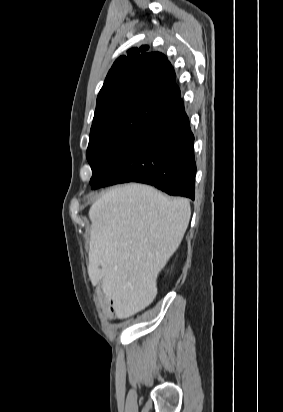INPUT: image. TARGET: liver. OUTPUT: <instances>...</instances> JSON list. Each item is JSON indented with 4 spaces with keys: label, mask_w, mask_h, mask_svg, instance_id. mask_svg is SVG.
<instances>
[{
    "label": "liver",
    "mask_w": 283,
    "mask_h": 412,
    "mask_svg": "<svg viewBox=\"0 0 283 412\" xmlns=\"http://www.w3.org/2000/svg\"><path fill=\"white\" fill-rule=\"evenodd\" d=\"M190 215L187 199L136 183L115 187L93 203L88 274L112 299L118 318L152 303L158 274L178 249Z\"/></svg>",
    "instance_id": "liver-1"
}]
</instances>
